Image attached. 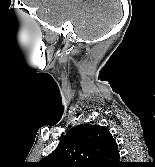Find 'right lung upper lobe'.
<instances>
[{
    "mask_svg": "<svg viewBox=\"0 0 155 167\" xmlns=\"http://www.w3.org/2000/svg\"><path fill=\"white\" fill-rule=\"evenodd\" d=\"M117 143L108 129L82 124L71 128L57 148L41 160L43 167H116Z\"/></svg>",
    "mask_w": 155,
    "mask_h": 167,
    "instance_id": "obj_1",
    "label": "right lung upper lobe"
}]
</instances>
